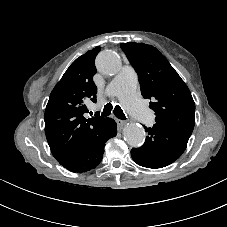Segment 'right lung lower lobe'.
<instances>
[{
  "instance_id": "98d812e1",
  "label": "right lung lower lobe",
  "mask_w": 227,
  "mask_h": 227,
  "mask_svg": "<svg viewBox=\"0 0 227 227\" xmlns=\"http://www.w3.org/2000/svg\"><path fill=\"white\" fill-rule=\"evenodd\" d=\"M116 127L112 118H106L103 125L85 145L66 154L58 162L72 172H86L95 168L102 160L106 141L116 136Z\"/></svg>"
}]
</instances>
